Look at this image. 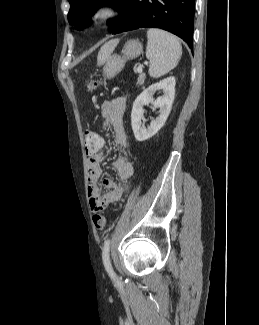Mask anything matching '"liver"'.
I'll return each mask as SVG.
<instances>
[{
  "mask_svg": "<svg viewBox=\"0 0 259 325\" xmlns=\"http://www.w3.org/2000/svg\"><path fill=\"white\" fill-rule=\"evenodd\" d=\"M118 44V39H112L105 43L100 51L98 52L97 56V65L100 66L104 64L107 59L110 57L111 53L114 51L115 47Z\"/></svg>",
  "mask_w": 259,
  "mask_h": 325,
  "instance_id": "liver-1",
  "label": "liver"
}]
</instances>
